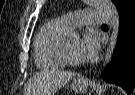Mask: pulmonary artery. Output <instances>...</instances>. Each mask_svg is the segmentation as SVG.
Instances as JSON below:
<instances>
[{
	"label": "pulmonary artery",
	"mask_w": 135,
	"mask_h": 95,
	"mask_svg": "<svg viewBox=\"0 0 135 95\" xmlns=\"http://www.w3.org/2000/svg\"><path fill=\"white\" fill-rule=\"evenodd\" d=\"M69 28L84 24H101L109 21L108 15L102 10H79L66 13L60 17Z\"/></svg>",
	"instance_id": "e3ab8cb5"
}]
</instances>
